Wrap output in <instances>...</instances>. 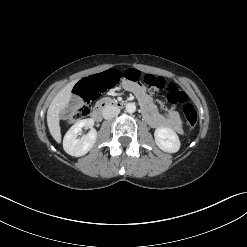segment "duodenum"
Masks as SVG:
<instances>
[{"label":"duodenum","mask_w":247,"mask_h":247,"mask_svg":"<svg viewBox=\"0 0 247 247\" xmlns=\"http://www.w3.org/2000/svg\"><path fill=\"white\" fill-rule=\"evenodd\" d=\"M126 102L117 100H104L100 102L93 110L91 117L95 121H100L103 118V112L109 107L123 108Z\"/></svg>","instance_id":"1"}]
</instances>
